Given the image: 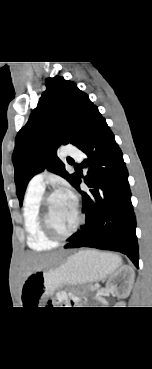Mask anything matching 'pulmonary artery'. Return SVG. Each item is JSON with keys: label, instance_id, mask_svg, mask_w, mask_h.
<instances>
[{"label": "pulmonary artery", "instance_id": "e3ab8cb5", "mask_svg": "<svg viewBox=\"0 0 152 369\" xmlns=\"http://www.w3.org/2000/svg\"><path fill=\"white\" fill-rule=\"evenodd\" d=\"M63 154L65 156H71V157L76 158L78 160L81 159V152L77 148H75L73 146H70V145H67L63 148ZM45 176H46V172H39V173L35 174L30 179L29 184H28V188L37 189V190H44Z\"/></svg>", "mask_w": 152, "mask_h": 369}]
</instances>
